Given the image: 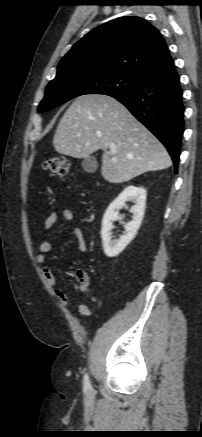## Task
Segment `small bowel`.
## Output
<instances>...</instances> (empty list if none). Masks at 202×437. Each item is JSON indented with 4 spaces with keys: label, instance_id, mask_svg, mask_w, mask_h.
Segmentation results:
<instances>
[{
    "label": "small bowel",
    "instance_id": "small-bowel-1",
    "mask_svg": "<svg viewBox=\"0 0 202 437\" xmlns=\"http://www.w3.org/2000/svg\"><path fill=\"white\" fill-rule=\"evenodd\" d=\"M61 216H62L63 220L66 222H71L74 219V213L70 209H63L61 211ZM57 220H58L57 212L54 210L51 211L48 214V216L46 217V219L41 227V231H48L49 229H51L54 226V224L57 222ZM73 234L77 239L79 251L82 253L86 252L87 246H86L84 234H83V231L81 230V228H79V227L73 228ZM51 248H52V244H51L50 240L43 239L40 242L38 253H37L35 259H36L37 264H39L40 266H43V275H44V278H45L47 284L51 287H55V285H56L55 276H54L51 268L46 265V254L51 250ZM84 280H85V286L88 287L89 280H88L86 275L84 276ZM55 292H56L57 296L61 299V301L63 302V304L65 305V307L67 309H71L74 307L79 311V313L82 316H85V317L90 316L91 311L87 305L82 304V303L74 304L68 298L67 294L62 289H56Z\"/></svg>",
    "mask_w": 202,
    "mask_h": 437
}]
</instances>
